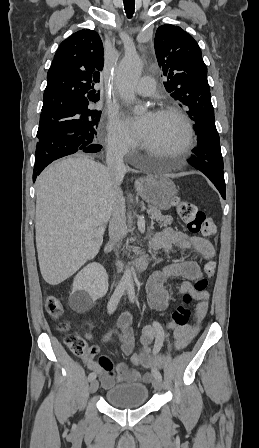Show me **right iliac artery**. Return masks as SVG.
<instances>
[{
	"label": "right iliac artery",
	"mask_w": 259,
	"mask_h": 448,
	"mask_svg": "<svg viewBox=\"0 0 259 448\" xmlns=\"http://www.w3.org/2000/svg\"><path fill=\"white\" fill-rule=\"evenodd\" d=\"M126 288H127V285L125 283H120L116 287L114 293L112 294V296L108 302L107 311L109 314H112L115 311ZM95 378H96V373H94V372L90 373L88 376L89 381H93V380H95Z\"/></svg>",
	"instance_id": "obj_1"
}]
</instances>
